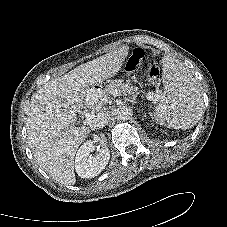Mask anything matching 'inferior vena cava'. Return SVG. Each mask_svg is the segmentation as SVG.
<instances>
[{"label":"inferior vena cava","mask_w":227,"mask_h":227,"mask_svg":"<svg viewBox=\"0 0 227 227\" xmlns=\"http://www.w3.org/2000/svg\"><path fill=\"white\" fill-rule=\"evenodd\" d=\"M109 119V114L106 111H101L96 115H93V118L89 122L90 128L92 130L102 129L107 125Z\"/></svg>","instance_id":"obj_1"}]
</instances>
